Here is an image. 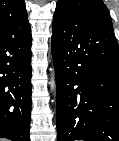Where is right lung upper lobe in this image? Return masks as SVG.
I'll return each instance as SVG.
<instances>
[{"mask_svg":"<svg viewBox=\"0 0 119 141\" xmlns=\"http://www.w3.org/2000/svg\"><path fill=\"white\" fill-rule=\"evenodd\" d=\"M27 16L24 0H0V23Z\"/></svg>","mask_w":119,"mask_h":141,"instance_id":"cb5924a9","label":"right lung upper lobe"}]
</instances>
